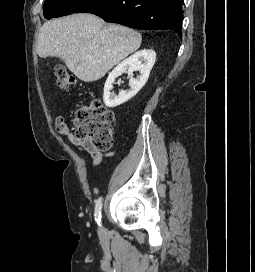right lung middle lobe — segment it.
<instances>
[{"mask_svg":"<svg viewBox=\"0 0 255 272\" xmlns=\"http://www.w3.org/2000/svg\"><path fill=\"white\" fill-rule=\"evenodd\" d=\"M90 0H46L43 6L44 17L51 19L75 13Z\"/></svg>","mask_w":255,"mask_h":272,"instance_id":"1","label":"right lung middle lobe"}]
</instances>
